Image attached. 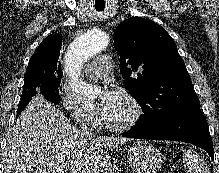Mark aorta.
<instances>
[{"label": "aorta", "mask_w": 219, "mask_h": 173, "mask_svg": "<svg viewBox=\"0 0 219 173\" xmlns=\"http://www.w3.org/2000/svg\"><path fill=\"white\" fill-rule=\"evenodd\" d=\"M108 45L109 37L97 28L88 30L71 43L65 54V71L71 78V89L77 97L86 98L95 94V87L80 79L81 68Z\"/></svg>", "instance_id": "762f6f07"}]
</instances>
